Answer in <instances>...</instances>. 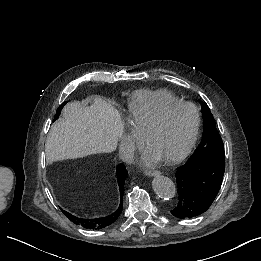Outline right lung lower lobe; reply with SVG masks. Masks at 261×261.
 Returning <instances> with one entry per match:
<instances>
[{
    "label": "right lung lower lobe",
    "mask_w": 261,
    "mask_h": 261,
    "mask_svg": "<svg viewBox=\"0 0 261 261\" xmlns=\"http://www.w3.org/2000/svg\"><path fill=\"white\" fill-rule=\"evenodd\" d=\"M116 170H117V181H118L119 192H120V200H122L124 194V183L128 172L126 171L125 166L123 164H119ZM122 208H123V203L122 201H120V205L114 213L106 217L94 218V219L79 218L64 210H62V212L69 220H71L73 223L79 226H82L87 229L99 230L115 222L119 218L122 212Z\"/></svg>",
    "instance_id": "obj_1"
}]
</instances>
